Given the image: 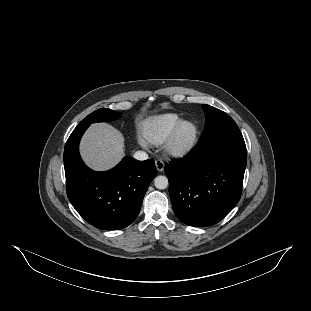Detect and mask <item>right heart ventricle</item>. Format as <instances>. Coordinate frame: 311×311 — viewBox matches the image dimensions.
<instances>
[{"mask_svg": "<svg viewBox=\"0 0 311 311\" xmlns=\"http://www.w3.org/2000/svg\"><path fill=\"white\" fill-rule=\"evenodd\" d=\"M184 118L177 113H162L145 118L139 125L141 137L153 144L166 142Z\"/></svg>", "mask_w": 311, "mask_h": 311, "instance_id": "obj_1", "label": "right heart ventricle"}]
</instances>
